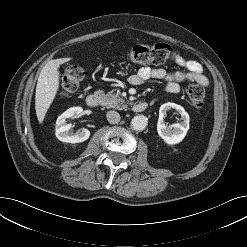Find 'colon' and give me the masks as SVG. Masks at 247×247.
<instances>
[{"instance_id": "5ec220e1", "label": "colon", "mask_w": 247, "mask_h": 247, "mask_svg": "<svg viewBox=\"0 0 247 247\" xmlns=\"http://www.w3.org/2000/svg\"><path fill=\"white\" fill-rule=\"evenodd\" d=\"M126 57L129 61L140 65H161L174 59L173 49L165 43L137 44L131 47ZM84 70L78 65L67 67L60 76V87L64 95L76 92L84 78ZM187 97L194 107L204 103L205 90L202 85L193 84L186 89Z\"/></svg>"}]
</instances>
